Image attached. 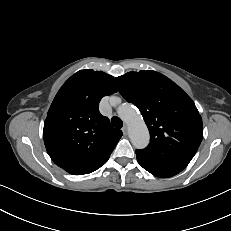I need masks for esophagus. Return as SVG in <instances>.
<instances>
[{
  "label": "esophagus",
  "instance_id": "esophagus-1",
  "mask_svg": "<svg viewBox=\"0 0 231 231\" xmlns=\"http://www.w3.org/2000/svg\"><path fill=\"white\" fill-rule=\"evenodd\" d=\"M122 131H123L124 135L127 134V126L126 125L123 126Z\"/></svg>",
  "mask_w": 231,
  "mask_h": 231
}]
</instances>
